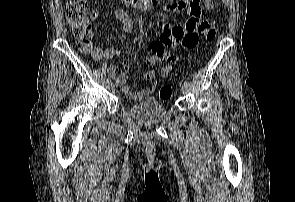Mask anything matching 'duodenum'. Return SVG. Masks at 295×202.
<instances>
[{
  "mask_svg": "<svg viewBox=\"0 0 295 202\" xmlns=\"http://www.w3.org/2000/svg\"><path fill=\"white\" fill-rule=\"evenodd\" d=\"M123 1L133 8H140L142 5H144L148 1H152V0H123Z\"/></svg>",
  "mask_w": 295,
  "mask_h": 202,
  "instance_id": "410a0bca",
  "label": "duodenum"
}]
</instances>
